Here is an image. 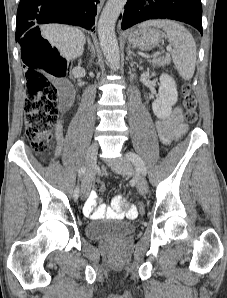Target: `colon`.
<instances>
[{"instance_id":"colon-1","label":"colon","mask_w":227,"mask_h":298,"mask_svg":"<svg viewBox=\"0 0 227 298\" xmlns=\"http://www.w3.org/2000/svg\"><path fill=\"white\" fill-rule=\"evenodd\" d=\"M27 100L25 103V132L35 152L44 153L51 148L52 131L59 120L62 105L58 103V89L48 74H58L50 47L44 40H38L26 60ZM185 119L195 123L198 119L197 99L189 85L182 87ZM95 191L104 189V183L96 180ZM139 213H144V202H137ZM138 212V210H137ZM131 212V216L137 214Z\"/></svg>"}]
</instances>
